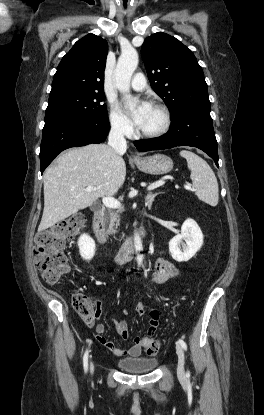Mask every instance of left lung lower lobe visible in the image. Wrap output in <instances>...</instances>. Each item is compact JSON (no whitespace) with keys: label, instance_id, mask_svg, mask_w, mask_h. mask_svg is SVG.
Listing matches in <instances>:
<instances>
[{"label":"left lung lower lobe","instance_id":"left-lung-lower-lobe-1","mask_svg":"<svg viewBox=\"0 0 264 415\" xmlns=\"http://www.w3.org/2000/svg\"><path fill=\"white\" fill-rule=\"evenodd\" d=\"M210 106H191L175 117L169 131L157 138L138 140L134 144L140 152L169 149L187 145L207 153L218 166L217 141L210 116Z\"/></svg>","mask_w":264,"mask_h":415}]
</instances>
